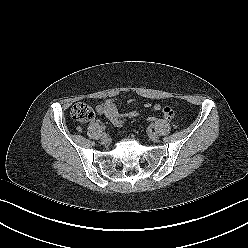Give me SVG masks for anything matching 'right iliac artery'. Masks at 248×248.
<instances>
[{
	"instance_id": "right-iliac-artery-1",
	"label": "right iliac artery",
	"mask_w": 248,
	"mask_h": 248,
	"mask_svg": "<svg viewBox=\"0 0 248 248\" xmlns=\"http://www.w3.org/2000/svg\"><path fill=\"white\" fill-rule=\"evenodd\" d=\"M102 130L105 131L106 130V126L102 125Z\"/></svg>"
}]
</instances>
